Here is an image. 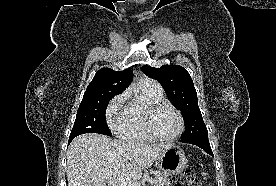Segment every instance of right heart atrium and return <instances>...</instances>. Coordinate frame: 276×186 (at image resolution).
<instances>
[{"mask_svg": "<svg viewBox=\"0 0 276 186\" xmlns=\"http://www.w3.org/2000/svg\"><path fill=\"white\" fill-rule=\"evenodd\" d=\"M128 94L123 92L115 96L109 103L106 117L110 128L118 132L128 121L129 114L127 108Z\"/></svg>", "mask_w": 276, "mask_h": 186, "instance_id": "1", "label": "right heart atrium"}]
</instances>
